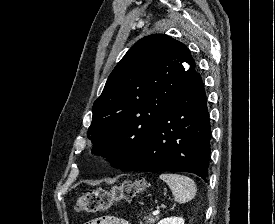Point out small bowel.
<instances>
[{
  "mask_svg": "<svg viewBox=\"0 0 275 224\" xmlns=\"http://www.w3.org/2000/svg\"><path fill=\"white\" fill-rule=\"evenodd\" d=\"M86 224H129V222L117 216L107 215L88 221Z\"/></svg>",
  "mask_w": 275,
  "mask_h": 224,
  "instance_id": "obj_1",
  "label": "small bowel"
}]
</instances>
